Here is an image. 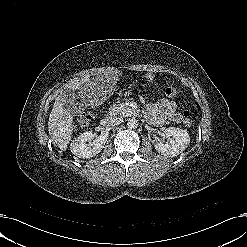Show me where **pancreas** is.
I'll list each match as a JSON object with an SVG mask.
<instances>
[{
    "label": "pancreas",
    "mask_w": 247,
    "mask_h": 247,
    "mask_svg": "<svg viewBox=\"0 0 247 247\" xmlns=\"http://www.w3.org/2000/svg\"><path fill=\"white\" fill-rule=\"evenodd\" d=\"M110 111L123 117H128L135 114V111L129 107V103L115 104L110 108Z\"/></svg>",
    "instance_id": "cf45deb5"
}]
</instances>
